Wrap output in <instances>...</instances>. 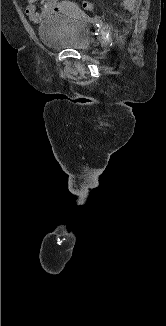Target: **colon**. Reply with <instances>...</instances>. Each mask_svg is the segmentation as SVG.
I'll return each instance as SVG.
<instances>
[{"label": "colon", "instance_id": "1", "mask_svg": "<svg viewBox=\"0 0 166 326\" xmlns=\"http://www.w3.org/2000/svg\"><path fill=\"white\" fill-rule=\"evenodd\" d=\"M83 7L87 10H91L94 7V5L91 1L85 0L83 2Z\"/></svg>", "mask_w": 166, "mask_h": 326}]
</instances>
